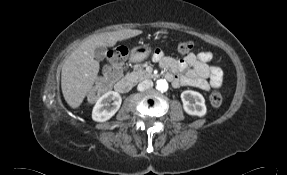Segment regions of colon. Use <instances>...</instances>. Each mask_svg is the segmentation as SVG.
I'll return each instance as SVG.
<instances>
[{
    "label": "colon",
    "mask_w": 287,
    "mask_h": 175,
    "mask_svg": "<svg viewBox=\"0 0 287 175\" xmlns=\"http://www.w3.org/2000/svg\"><path fill=\"white\" fill-rule=\"evenodd\" d=\"M193 48L192 43L190 42H182L178 45L177 49L181 54H188L191 52ZM127 54V51L125 48L123 47H119L116 48L114 50H112L110 52V57L111 58H117V59H121L122 57H124ZM117 78V74L114 73L112 80H115ZM210 101L214 106H218L221 104L222 102V96L220 94V92H218L217 90H214L211 92L210 94Z\"/></svg>",
    "instance_id": "colon-1"
}]
</instances>
